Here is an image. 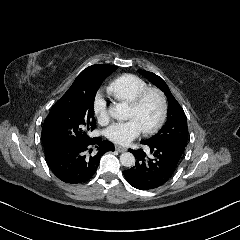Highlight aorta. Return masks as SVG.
Returning a JSON list of instances; mask_svg holds the SVG:
<instances>
[{
  "instance_id": "762f6f07",
  "label": "aorta",
  "mask_w": 240,
  "mask_h": 240,
  "mask_svg": "<svg viewBox=\"0 0 240 240\" xmlns=\"http://www.w3.org/2000/svg\"><path fill=\"white\" fill-rule=\"evenodd\" d=\"M121 109L119 106H114L111 108V115L120 119ZM120 162L124 167H134L135 165V157L132 153L126 152L120 156Z\"/></svg>"
}]
</instances>
